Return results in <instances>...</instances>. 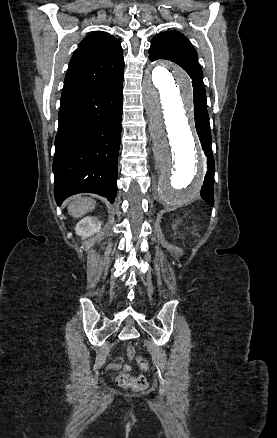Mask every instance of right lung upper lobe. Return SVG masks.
<instances>
[{"label": "right lung upper lobe", "instance_id": "1", "mask_svg": "<svg viewBox=\"0 0 277 438\" xmlns=\"http://www.w3.org/2000/svg\"><path fill=\"white\" fill-rule=\"evenodd\" d=\"M123 71L124 60L119 40L108 33L92 32L73 53L61 98L113 79Z\"/></svg>", "mask_w": 277, "mask_h": 438}]
</instances>
